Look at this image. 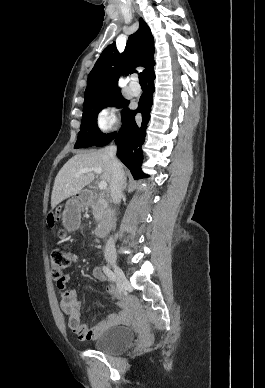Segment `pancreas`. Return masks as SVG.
I'll return each mask as SVG.
<instances>
[{
    "label": "pancreas",
    "mask_w": 265,
    "mask_h": 388,
    "mask_svg": "<svg viewBox=\"0 0 265 388\" xmlns=\"http://www.w3.org/2000/svg\"><path fill=\"white\" fill-rule=\"evenodd\" d=\"M108 210V204L105 200H98L96 206H93L92 212L96 222H100L102 216H104L105 212Z\"/></svg>",
    "instance_id": "pancreas-1"
}]
</instances>
